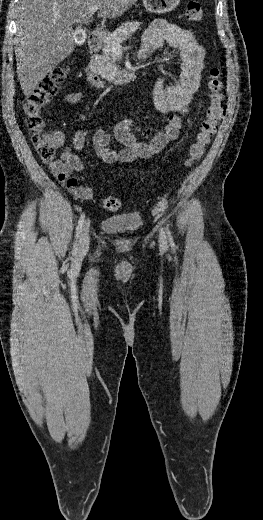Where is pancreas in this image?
Segmentation results:
<instances>
[{
	"label": "pancreas",
	"mask_w": 263,
	"mask_h": 520,
	"mask_svg": "<svg viewBox=\"0 0 263 520\" xmlns=\"http://www.w3.org/2000/svg\"><path fill=\"white\" fill-rule=\"evenodd\" d=\"M141 26V22L133 21L121 24L113 33H109L102 37L100 55H96L91 60V66L105 80L113 83L120 82L122 72L116 65V57L113 52V41L120 44L129 36L136 32Z\"/></svg>",
	"instance_id": "1"
}]
</instances>
